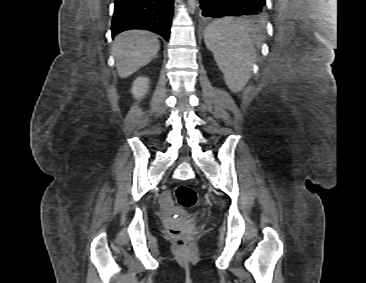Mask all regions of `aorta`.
Wrapping results in <instances>:
<instances>
[{
  "mask_svg": "<svg viewBox=\"0 0 366 283\" xmlns=\"http://www.w3.org/2000/svg\"><path fill=\"white\" fill-rule=\"evenodd\" d=\"M189 8L191 9V12H193V9H195L196 6V0H188Z\"/></svg>",
  "mask_w": 366,
  "mask_h": 283,
  "instance_id": "aorta-1",
  "label": "aorta"
}]
</instances>
